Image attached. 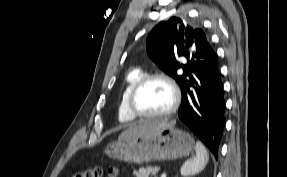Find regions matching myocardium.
<instances>
[{
    "label": "myocardium",
    "mask_w": 287,
    "mask_h": 177,
    "mask_svg": "<svg viewBox=\"0 0 287 177\" xmlns=\"http://www.w3.org/2000/svg\"><path fill=\"white\" fill-rule=\"evenodd\" d=\"M153 80H160L164 82L170 88L171 93H172V104L169 107V109H167L165 112H162V113H158V114L143 113L139 111L138 108L136 107V103H135L136 97L138 93L140 92V90L147 83ZM180 101H181L180 90L177 84L174 82V80L171 77L163 73H151V74H146L142 76L132 88L129 94V97H128V108L134 116L139 117L141 119H161V118L168 117L172 115L173 113H175L180 105Z\"/></svg>",
    "instance_id": "1"
}]
</instances>
